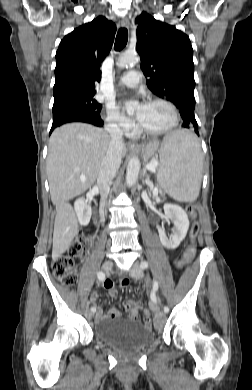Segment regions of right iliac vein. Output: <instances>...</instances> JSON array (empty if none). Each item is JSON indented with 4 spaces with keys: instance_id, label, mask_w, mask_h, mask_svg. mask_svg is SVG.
<instances>
[{
    "instance_id": "63e3f726",
    "label": "right iliac vein",
    "mask_w": 252,
    "mask_h": 390,
    "mask_svg": "<svg viewBox=\"0 0 252 390\" xmlns=\"http://www.w3.org/2000/svg\"><path fill=\"white\" fill-rule=\"evenodd\" d=\"M112 267H113V263H112V261H110V260L104 261V263H103V265H102V269H103L106 273L110 272V270L112 269ZM85 316L87 317V319L90 320V319H92V317H93V312H92L91 310L87 309V310L85 311Z\"/></svg>"
}]
</instances>
